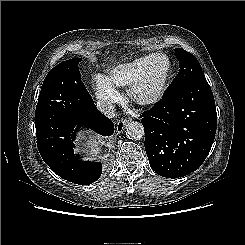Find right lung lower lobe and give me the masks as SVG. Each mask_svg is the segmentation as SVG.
<instances>
[{
  "instance_id": "right-lung-lower-lobe-1",
  "label": "right lung lower lobe",
  "mask_w": 245,
  "mask_h": 245,
  "mask_svg": "<svg viewBox=\"0 0 245 245\" xmlns=\"http://www.w3.org/2000/svg\"><path fill=\"white\" fill-rule=\"evenodd\" d=\"M40 155L61 178L80 185L95 182L102 173L99 162L82 161L74 154L75 133L80 127L110 136L113 122L98 111L93 103L91 112L82 117L44 118L35 120ZM77 128V129H76Z\"/></svg>"
}]
</instances>
